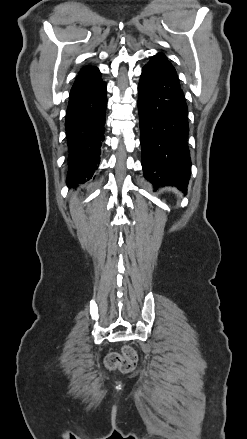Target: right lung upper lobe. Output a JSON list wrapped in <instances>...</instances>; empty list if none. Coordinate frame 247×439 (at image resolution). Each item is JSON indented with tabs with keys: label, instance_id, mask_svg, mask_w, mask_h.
<instances>
[{
	"label": "right lung upper lobe",
	"instance_id": "right-lung-upper-lobe-1",
	"mask_svg": "<svg viewBox=\"0 0 247 439\" xmlns=\"http://www.w3.org/2000/svg\"><path fill=\"white\" fill-rule=\"evenodd\" d=\"M101 73L98 68L93 66H84L75 80L71 92L83 91L92 88L99 83L101 80Z\"/></svg>",
	"mask_w": 247,
	"mask_h": 439
}]
</instances>
